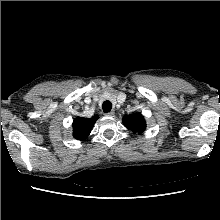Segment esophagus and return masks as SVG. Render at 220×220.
<instances>
[{
    "label": "esophagus",
    "instance_id": "obj_1",
    "mask_svg": "<svg viewBox=\"0 0 220 220\" xmlns=\"http://www.w3.org/2000/svg\"><path fill=\"white\" fill-rule=\"evenodd\" d=\"M105 115H107V116H113V115H114V111L112 110V111H110V112H107Z\"/></svg>",
    "mask_w": 220,
    "mask_h": 220
}]
</instances>
